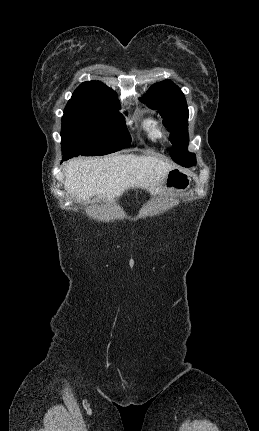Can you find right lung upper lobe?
Masks as SVG:
<instances>
[{
  "instance_id": "right-lung-upper-lobe-1",
  "label": "right lung upper lobe",
  "mask_w": 259,
  "mask_h": 431,
  "mask_svg": "<svg viewBox=\"0 0 259 431\" xmlns=\"http://www.w3.org/2000/svg\"><path fill=\"white\" fill-rule=\"evenodd\" d=\"M116 93L100 81L83 82L73 93L72 100H102Z\"/></svg>"
}]
</instances>
